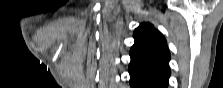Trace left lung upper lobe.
Segmentation results:
<instances>
[{
	"mask_svg": "<svg viewBox=\"0 0 223 88\" xmlns=\"http://www.w3.org/2000/svg\"><path fill=\"white\" fill-rule=\"evenodd\" d=\"M135 43L130 51L131 61L144 63L170 73V53L163 35L149 23L134 32Z\"/></svg>",
	"mask_w": 223,
	"mask_h": 88,
	"instance_id": "left-lung-upper-lobe-1",
	"label": "left lung upper lobe"
}]
</instances>
